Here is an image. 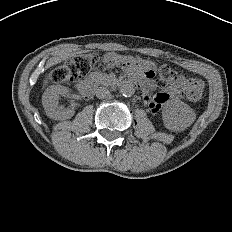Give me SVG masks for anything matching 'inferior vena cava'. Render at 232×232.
Instances as JSON below:
<instances>
[{
    "instance_id": "602c4592",
    "label": "inferior vena cava",
    "mask_w": 232,
    "mask_h": 232,
    "mask_svg": "<svg viewBox=\"0 0 232 232\" xmlns=\"http://www.w3.org/2000/svg\"><path fill=\"white\" fill-rule=\"evenodd\" d=\"M95 93H96V96L100 99L107 98L110 95V91L106 87H103V86L98 87Z\"/></svg>"
}]
</instances>
